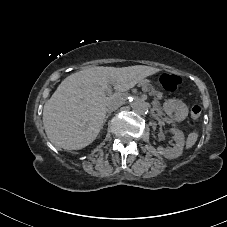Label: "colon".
Listing matches in <instances>:
<instances>
[{
	"label": "colon",
	"mask_w": 227,
	"mask_h": 227,
	"mask_svg": "<svg viewBox=\"0 0 227 227\" xmlns=\"http://www.w3.org/2000/svg\"><path fill=\"white\" fill-rule=\"evenodd\" d=\"M158 81L160 85L168 92L175 93L178 91L180 84H181V78L178 75L170 74L166 72H161L158 76ZM202 114V109L200 105L195 104L190 109V115L193 119L200 118Z\"/></svg>",
	"instance_id": "1"
}]
</instances>
